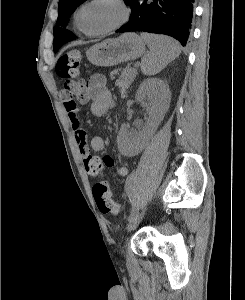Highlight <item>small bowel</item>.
<instances>
[{"mask_svg":"<svg viewBox=\"0 0 245 300\" xmlns=\"http://www.w3.org/2000/svg\"><path fill=\"white\" fill-rule=\"evenodd\" d=\"M78 98L81 103L91 102V112L95 116L105 115L114 105L112 92L107 85L106 78L101 74L93 75L82 84ZM63 100L85 169L92 176H100L104 168L115 166L112 157L105 155L100 158L92 154V151H104L105 140L100 136H94L88 140L87 132L81 124L76 102L72 98H64ZM128 172L126 166L116 168V174L119 177L127 176ZM92 187L93 190H109L110 183L106 177H101L100 181H95Z\"/></svg>","mask_w":245,"mask_h":300,"instance_id":"small-bowel-1","label":"small bowel"}]
</instances>
